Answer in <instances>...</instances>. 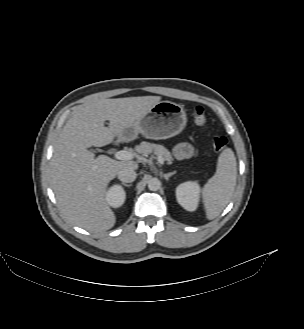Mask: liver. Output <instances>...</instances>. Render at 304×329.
Here are the masks:
<instances>
[{
  "label": "liver",
  "mask_w": 304,
  "mask_h": 329,
  "mask_svg": "<svg viewBox=\"0 0 304 329\" xmlns=\"http://www.w3.org/2000/svg\"><path fill=\"white\" fill-rule=\"evenodd\" d=\"M160 100V96L98 99L82 105L66 122L54 147L50 180L69 221L93 233L114 226L115 215L106 200L107 186L118 171L137 169L138 164L105 155L95 158L88 148L112 143ZM107 120L109 127L104 126Z\"/></svg>",
  "instance_id": "6515ba94"
}]
</instances>
